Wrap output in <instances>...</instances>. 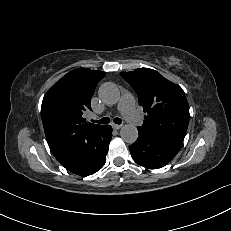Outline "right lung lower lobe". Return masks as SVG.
Here are the masks:
<instances>
[{"label":"right lung lower lobe","mask_w":231,"mask_h":231,"mask_svg":"<svg viewBox=\"0 0 231 231\" xmlns=\"http://www.w3.org/2000/svg\"><path fill=\"white\" fill-rule=\"evenodd\" d=\"M111 137L110 125L84 133L78 138L72 153L57 160L75 174L92 175L104 166Z\"/></svg>","instance_id":"right-lung-lower-lobe-1"}]
</instances>
